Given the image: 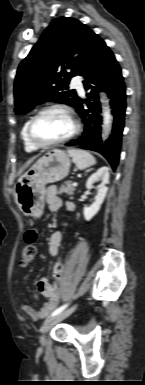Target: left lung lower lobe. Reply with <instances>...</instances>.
Segmentation results:
<instances>
[{"label": "left lung lower lobe", "mask_w": 145, "mask_h": 385, "mask_svg": "<svg viewBox=\"0 0 145 385\" xmlns=\"http://www.w3.org/2000/svg\"><path fill=\"white\" fill-rule=\"evenodd\" d=\"M85 78L84 87L90 90L86 101L88 109H84L81 100L77 112L81 115L85 124V131L81 140H73L67 146L79 144L83 149L93 150L101 153L115 169L118 165L121 148L122 132L124 128V116L126 109L125 85L121 69L114 54L106 46L105 42L94 34L89 53L79 72ZM107 92L111 99V108L114 115V123L110 138L103 144L101 140V116L100 103L97 93L101 88Z\"/></svg>", "instance_id": "obj_1"}]
</instances>
